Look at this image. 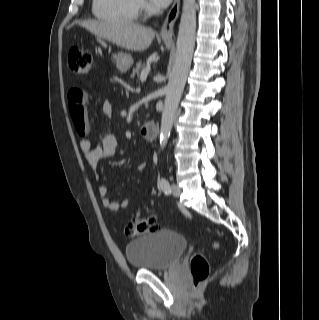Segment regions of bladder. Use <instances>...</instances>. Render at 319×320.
Masks as SVG:
<instances>
[{"instance_id": "obj_1", "label": "bladder", "mask_w": 319, "mask_h": 320, "mask_svg": "<svg viewBox=\"0 0 319 320\" xmlns=\"http://www.w3.org/2000/svg\"><path fill=\"white\" fill-rule=\"evenodd\" d=\"M188 247L179 233L165 229L141 235L125 246V254L136 270H165L176 265Z\"/></svg>"}]
</instances>
